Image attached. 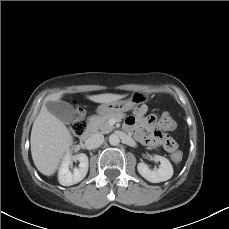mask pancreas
Segmentation results:
<instances>
[{
    "label": "pancreas",
    "instance_id": "obj_1",
    "mask_svg": "<svg viewBox=\"0 0 229 229\" xmlns=\"http://www.w3.org/2000/svg\"><path fill=\"white\" fill-rule=\"evenodd\" d=\"M123 117V114H111L98 117L91 123V128L93 131L100 130L102 133H109L114 129V126L109 124V120H121Z\"/></svg>",
    "mask_w": 229,
    "mask_h": 229
}]
</instances>
